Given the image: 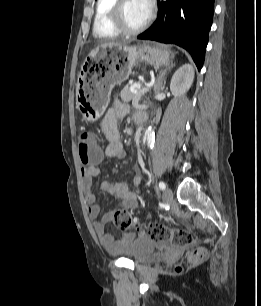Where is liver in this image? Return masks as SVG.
Returning a JSON list of instances; mask_svg holds the SVG:
<instances>
[{"instance_id":"liver-1","label":"liver","mask_w":261,"mask_h":306,"mask_svg":"<svg viewBox=\"0 0 261 306\" xmlns=\"http://www.w3.org/2000/svg\"><path fill=\"white\" fill-rule=\"evenodd\" d=\"M126 43H120V42H109V43H103L101 47H107V46H114V47H120L125 46Z\"/></svg>"}]
</instances>
